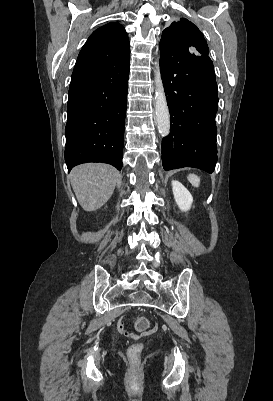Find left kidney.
<instances>
[{"label": "left kidney", "mask_w": 273, "mask_h": 401, "mask_svg": "<svg viewBox=\"0 0 273 401\" xmlns=\"http://www.w3.org/2000/svg\"><path fill=\"white\" fill-rule=\"evenodd\" d=\"M172 190L175 201L181 211H189L193 203V196L179 180H172Z\"/></svg>", "instance_id": "5707ae66"}]
</instances>
